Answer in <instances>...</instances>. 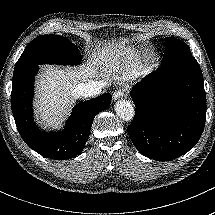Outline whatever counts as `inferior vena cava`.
<instances>
[{
    "label": "inferior vena cava",
    "mask_w": 215,
    "mask_h": 215,
    "mask_svg": "<svg viewBox=\"0 0 215 215\" xmlns=\"http://www.w3.org/2000/svg\"><path fill=\"white\" fill-rule=\"evenodd\" d=\"M103 87L104 84L100 82H85L77 86L76 92L78 93V96H81L83 98L95 97L102 93Z\"/></svg>",
    "instance_id": "1"
}]
</instances>
